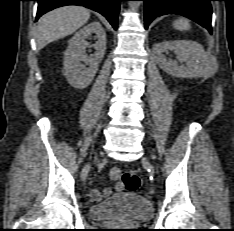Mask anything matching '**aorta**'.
<instances>
[{
    "label": "aorta",
    "instance_id": "obj_1",
    "mask_svg": "<svg viewBox=\"0 0 234 231\" xmlns=\"http://www.w3.org/2000/svg\"><path fill=\"white\" fill-rule=\"evenodd\" d=\"M140 4H141L140 1H130V2H129V6H130L131 8H134V9L138 8V7L140 6Z\"/></svg>",
    "mask_w": 234,
    "mask_h": 231
}]
</instances>
